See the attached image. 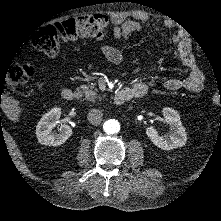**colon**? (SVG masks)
Instances as JSON below:
<instances>
[{
    "mask_svg": "<svg viewBox=\"0 0 221 221\" xmlns=\"http://www.w3.org/2000/svg\"><path fill=\"white\" fill-rule=\"evenodd\" d=\"M109 26L110 20L103 14L71 18L39 28L32 37V45L48 57H55L61 44L71 43L79 38L95 41L103 39ZM33 73L34 70L28 64L11 66L4 84L5 93L12 94L32 78Z\"/></svg>",
    "mask_w": 221,
    "mask_h": 221,
    "instance_id": "5ec220e1",
    "label": "colon"
}]
</instances>
